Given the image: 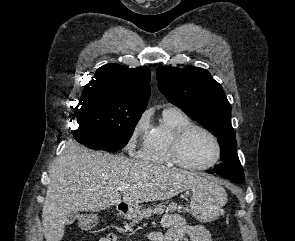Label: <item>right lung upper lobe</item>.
Instances as JSON below:
<instances>
[{
    "label": "right lung upper lobe",
    "mask_w": 295,
    "mask_h": 241,
    "mask_svg": "<svg viewBox=\"0 0 295 241\" xmlns=\"http://www.w3.org/2000/svg\"><path fill=\"white\" fill-rule=\"evenodd\" d=\"M150 76L147 66L129 69L118 64H107L97 69L94 79L84 87L82 97L90 92H103L146 108L150 96Z\"/></svg>",
    "instance_id": "right-lung-upper-lobe-1"
}]
</instances>
